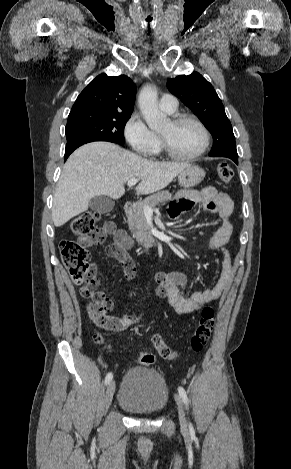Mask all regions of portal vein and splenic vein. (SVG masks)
Instances as JSON below:
<instances>
[{
    "instance_id": "obj_1",
    "label": "portal vein and splenic vein",
    "mask_w": 291,
    "mask_h": 469,
    "mask_svg": "<svg viewBox=\"0 0 291 469\" xmlns=\"http://www.w3.org/2000/svg\"><path fill=\"white\" fill-rule=\"evenodd\" d=\"M138 181H139V179H137V178H131V179L128 181L127 185H128L129 187L134 186ZM144 213H145V214H152V213H153V209L150 208V207H148V206H145V207H144Z\"/></svg>"
}]
</instances>
